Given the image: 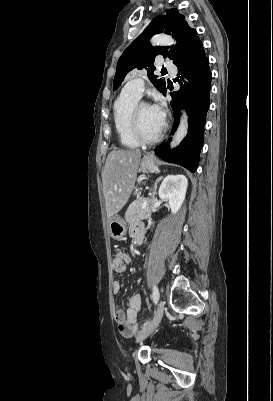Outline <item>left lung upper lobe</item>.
I'll use <instances>...</instances> for the list:
<instances>
[{
	"label": "left lung upper lobe",
	"instance_id": "1",
	"mask_svg": "<svg viewBox=\"0 0 273 401\" xmlns=\"http://www.w3.org/2000/svg\"><path fill=\"white\" fill-rule=\"evenodd\" d=\"M166 33L176 39L175 46L152 47L149 43L151 36L157 33ZM199 41L195 29L188 26L185 16L176 9H169L165 15L155 17L142 34L129 45L117 63V70L113 82V90H116L125 76L134 68H146L147 75L152 84L162 94L166 91V81L157 79L154 75L156 69L153 65L157 55L169 58L173 62L188 48Z\"/></svg>",
	"mask_w": 273,
	"mask_h": 401
}]
</instances>
